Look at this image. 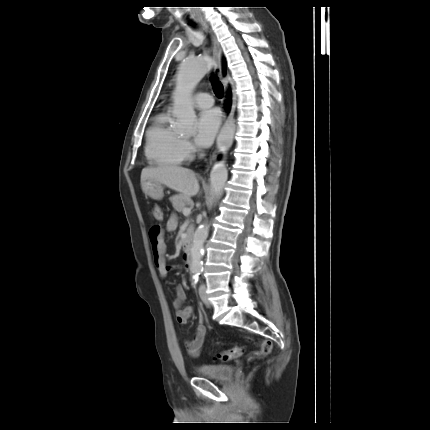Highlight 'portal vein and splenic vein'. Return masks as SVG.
I'll return each mask as SVG.
<instances>
[{"mask_svg":"<svg viewBox=\"0 0 430 430\" xmlns=\"http://www.w3.org/2000/svg\"><path fill=\"white\" fill-rule=\"evenodd\" d=\"M190 213H191V208H185V209L183 210V215H184V216H189V215H190Z\"/></svg>","mask_w":430,"mask_h":430,"instance_id":"obj_1","label":"portal vein and splenic vein"}]
</instances>
